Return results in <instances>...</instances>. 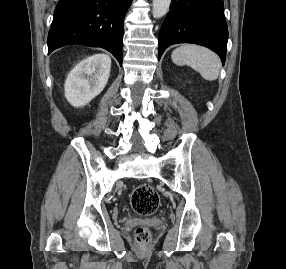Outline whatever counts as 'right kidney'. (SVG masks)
Wrapping results in <instances>:
<instances>
[{
    "instance_id": "ca27d5eb",
    "label": "right kidney",
    "mask_w": 286,
    "mask_h": 269,
    "mask_svg": "<svg viewBox=\"0 0 286 269\" xmlns=\"http://www.w3.org/2000/svg\"><path fill=\"white\" fill-rule=\"evenodd\" d=\"M111 58L92 55L78 63L65 82V97L74 107L87 105L105 88L110 74Z\"/></svg>"
}]
</instances>
